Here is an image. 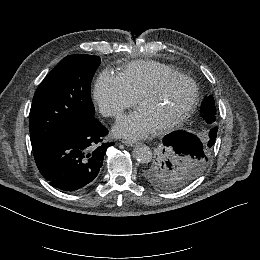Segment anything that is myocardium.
<instances>
[{
	"label": "myocardium",
	"instance_id": "myocardium-1",
	"mask_svg": "<svg viewBox=\"0 0 260 260\" xmlns=\"http://www.w3.org/2000/svg\"><path fill=\"white\" fill-rule=\"evenodd\" d=\"M177 79H185L190 81L193 84L195 89L194 96L191 99L188 106L186 107V109L184 110V112L180 116H178L176 119L170 122L155 126V131L158 133L174 130L180 127L188 119V117L191 115V113L193 112L194 108L196 107L200 99V92L197 86L192 82V80L187 75L182 73H177L174 75L163 76L155 79L145 89H143L137 96L136 102L137 105H139L143 99L156 94L165 84Z\"/></svg>",
	"mask_w": 260,
	"mask_h": 260
}]
</instances>
